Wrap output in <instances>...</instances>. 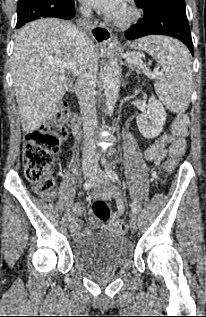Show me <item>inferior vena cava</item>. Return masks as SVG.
<instances>
[{
    "label": "inferior vena cava",
    "instance_id": "602c4592",
    "mask_svg": "<svg viewBox=\"0 0 206 317\" xmlns=\"http://www.w3.org/2000/svg\"><path fill=\"white\" fill-rule=\"evenodd\" d=\"M80 12L84 17L91 16L88 6L81 7ZM77 45L80 60L76 94L84 131L83 167L94 169L98 167V151L93 139L97 126L94 89L98 71V55L94 44L83 32H79L77 35Z\"/></svg>",
    "mask_w": 206,
    "mask_h": 317
}]
</instances>
